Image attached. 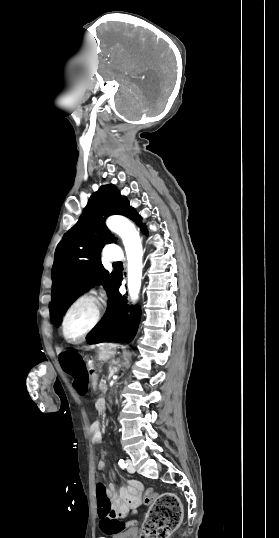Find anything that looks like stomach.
Listing matches in <instances>:
<instances>
[{"instance_id":"0dacf381","label":"stomach","mask_w":279,"mask_h":538,"mask_svg":"<svg viewBox=\"0 0 279 538\" xmlns=\"http://www.w3.org/2000/svg\"><path fill=\"white\" fill-rule=\"evenodd\" d=\"M110 354H112V352H110ZM109 358H111V356H108L107 360H109Z\"/></svg>"}]
</instances>
